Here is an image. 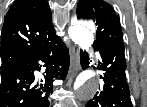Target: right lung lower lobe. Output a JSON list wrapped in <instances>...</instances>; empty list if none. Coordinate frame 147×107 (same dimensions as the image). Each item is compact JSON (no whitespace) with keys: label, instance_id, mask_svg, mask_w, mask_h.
Here are the masks:
<instances>
[{"label":"right lung lower lobe","instance_id":"98d812e1","mask_svg":"<svg viewBox=\"0 0 147 107\" xmlns=\"http://www.w3.org/2000/svg\"><path fill=\"white\" fill-rule=\"evenodd\" d=\"M69 51L56 36L34 49L25 59L1 71L0 107H48L53 78L64 79L69 69ZM34 71H42L36 78Z\"/></svg>","mask_w":147,"mask_h":107}]
</instances>
